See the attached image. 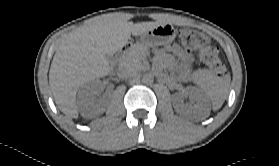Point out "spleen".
I'll return each mask as SVG.
<instances>
[{"instance_id": "obj_1", "label": "spleen", "mask_w": 279, "mask_h": 166, "mask_svg": "<svg viewBox=\"0 0 279 166\" xmlns=\"http://www.w3.org/2000/svg\"><path fill=\"white\" fill-rule=\"evenodd\" d=\"M230 75L219 78L207 69H199L193 75V81L200 87L213 110L223 105L229 92Z\"/></svg>"}]
</instances>
